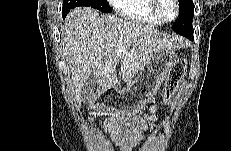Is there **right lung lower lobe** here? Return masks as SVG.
<instances>
[{
	"label": "right lung lower lobe",
	"mask_w": 231,
	"mask_h": 151,
	"mask_svg": "<svg viewBox=\"0 0 231 151\" xmlns=\"http://www.w3.org/2000/svg\"><path fill=\"white\" fill-rule=\"evenodd\" d=\"M70 11L62 8V15L65 17Z\"/></svg>",
	"instance_id": "right-lung-lower-lobe-1"
}]
</instances>
